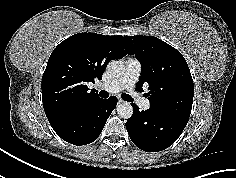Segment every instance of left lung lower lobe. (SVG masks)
<instances>
[{
	"instance_id": "0a47b994",
	"label": "left lung lower lobe",
	"mask_w": 236,
	"mask_h": 178,
	"mask_svg": "<svg viewBox=\"0 0 236 178\" xmlns=\"http://www.w3.org/2000/svg\"><path fill=\"white\" fill-rule=\"evenodd\" d=\"M134 112L126 122L132 142L146 152H158L171 146L181 135L189 118L150 107L139 111L131 104Z\"/></svg>"
}]
</instances>
